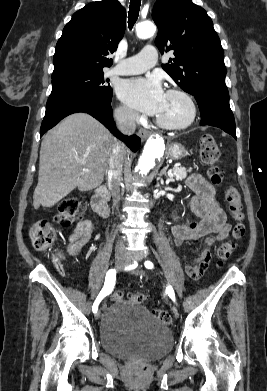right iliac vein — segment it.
<instances>
[{
	"label": "right iliac vein",
	"instance_id": "obj_1",
	"mask_svg": "<svg viewBox=\"0 0 267 391\" xmlns=\"http://www.w3.org/2000/svg\"><path fill=\"white\" fill-rule=\"evenodd\" d=\"M126 262H127V258L124 256V255H117L115 257V268L120 270L122 269L125 265H126ZM101 316V311L98 310L96 313H95V319L98 320Z\"/></svg>",
	"mask_w": 267,
	"mask_h": 391
}]
</instances>
